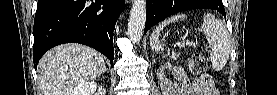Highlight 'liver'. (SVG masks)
Returning <instances> with one entry per match:
<instances>
[{
    "label": "liver",
    "instance_id": "6515ba94",
    "mask_svg": "<svg viewBox=\"0 0 277 95\" xmlns=\"http://www.w3.org/2000/svg\"><path fill=\"white\" fill-rule=\"evenodd\" d=\"M38 68L43 95H71L79 84L99 77L105 71V62L92 48L64 44L49 50Z\"/></svg>",
    "mask_w": 277,
    "mask_h": 95
}]
</instances>
